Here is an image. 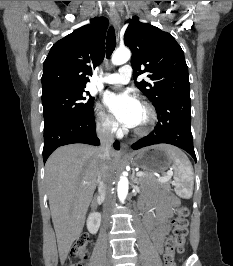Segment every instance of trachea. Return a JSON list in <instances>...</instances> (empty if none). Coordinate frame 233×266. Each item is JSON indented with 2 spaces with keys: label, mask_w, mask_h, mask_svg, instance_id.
<instances>
[{
  "label": "trachea",
  "mask_w": 233,
  "mask_h": 266,
  "mask_svg": "<svg viewBox=\"0 0 233 266\" xmlns=\"http://www.w3.org/2000/svg\"><path fill=\"white\" fill-rule=\"evenodd\" d=\"M116 45V37H115V31L114 28L111 26L107 33L106 38V55L109 59L111 54L113 53Z\"/></svg>",
  "instance_id": "1"
}]
</instances>
